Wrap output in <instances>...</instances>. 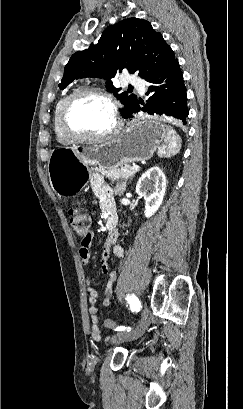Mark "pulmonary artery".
<instances>
[{
    "label": "pulmonary artery",
    "instance_id": "pulmonary-artery-1",
    "mask_svg": "<svg viewBox=\"0 0 243 409\" xmlns=\"http://www.w3.org/2000/svg\"><path fill=\"white\" fill-rule=\"evenodd\" d=\"M127 83L136 87L141 93L144 92V83L143 81L135 75H131L127 79Z\"/></svg>",
    "mask_w": 243,
    "mask_h": 409
}]
</instances>
